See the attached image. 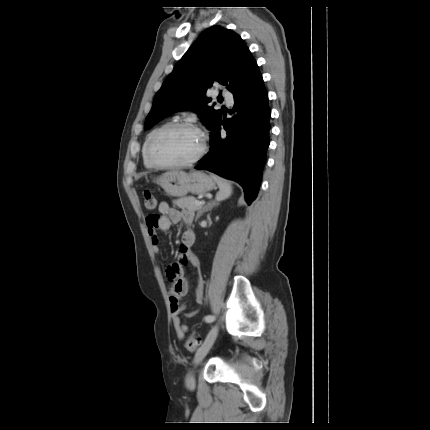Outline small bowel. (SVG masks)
I'll use <instances>...</instances> for the list:
<instances>
[{
	"label": "small bowel",
	"instance_id": "c3829d8e",
	"mask_svg": "<svg viewBox=\"0 0 430 430\" xmlns=\"http://www.w3.org/2000/svg\"><path fill=\"white\" fill-rule=\"evenodd\" d=\"M160 215L149 216L146 220L148 234L151 239L152 249L155 254L160 251L159 240L157 237V229L166 231L171 224H177L183 221L185 224H190L193 220V213L188 210H179L172 208L167 202H161L158 206ZM195 241V233L192 229H185L180 244V252L178 261L169 264L167 268V277L170 282V306L172 323L175 328L177 337L182 340L185 334L189 331V327L182 323L181 316L186 309V303L183 298L187 295L189 285L184 277V267H189L197 272V287L195 291V302L200 305L203 302V279L200 275V262L197 256L191 251V247ZM197 313L196 310L185 314L187 317H193Z\"/></svg>",
	"mask_w": 430,
	"mask_h": 430
}]
</instances>
